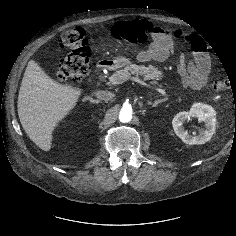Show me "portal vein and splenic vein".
<instances>
[{
  "label": "portal vein and splenic vein",
  "mask_w": 236,
  "mask_h": 236,
  "mask_svg": "<svg viewBox=\"0 0 236 236\" xmlns=\"http://www.w3.org/2000/svg\"><path fill=\"white\" fill-rule=\"evenodd\" d=\"M108 79H109V81L112 84H120V83L124 82V79L122 77H116L115 75L110 76ZM131 79L133 81H135V82H137V83H139V84L149 88V89H152V90H155V91L159 92L162 95H166L165 90H163L161 88H157V87L151 86V85L147 84L146 82H144V81H142V80H140V79H138L136 77H132Z\"/></svg>",
  "instance_id": "18ae733b"
}]
</instances>
